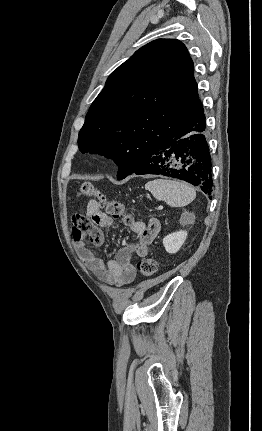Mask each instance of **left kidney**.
Returning <instances> with one entry per match:
<instances>
[{
	"mask_svg": "<svg viewBox=\"0 0 262 431\" xmlns=\"http://www.w3.org/2000/svg\"><path fill=\"white\" fill-rule=\"evenodd\" d=\"M186 238L187 232L184 230L173 232L167 235L163 239L165 250L170 254L178 252L181 246L184 244Z\"/></svg>",
	"mask_w": 262,
	"mask_h": 431,
	"instance_id": "1",
	"label": "left kidney"
}]
</instances>
